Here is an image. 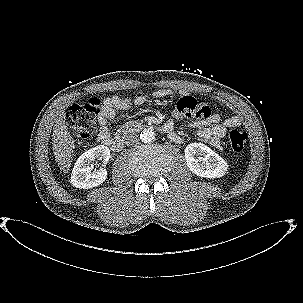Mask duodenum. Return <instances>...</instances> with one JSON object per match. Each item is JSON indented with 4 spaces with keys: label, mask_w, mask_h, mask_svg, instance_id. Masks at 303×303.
Listing matches in <instances>:
<instances>
[{
    "label": "duodenum",
    "mask_w": 303,
    "mask_h": 303,
    "mask_svg": "<svg viewBox=\"0 0 303 303\" xmlns=\"http://www.w3.org/2000/svg\"><path fill=\"white\" fill-rule=\"evenodd\" d=\"M147 128L148 126L145 124H140V123L129 124L126 130L122 134H120L118 137L110 138L107 141L106 145L112 148V150L119 152L124 146L125 134L127 132L145 130ZM162 132L165 135H167L169 138L172 136V134L169 131L165 130L164 127L162 128Z\"/></svg>",
    "instance_id": "1"
}]
</instances>
